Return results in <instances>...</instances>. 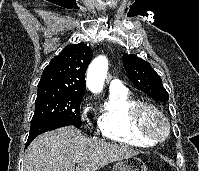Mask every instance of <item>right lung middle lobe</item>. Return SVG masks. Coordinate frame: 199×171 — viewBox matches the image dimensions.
<instances>
[{
  "label": "right lung middle lobe",
  "instance_id": "right-lung-middle-lobe-1",
  "mask_svg": "<svg viewBox=\"0 0 199 171\" xmlns=\"http://www.w3.org/2000/svg\"><path fill=\"white\" fill-rule=\"evenodd\" d=\"M84 95L53 88H38L31 124L43 119H61L81 126L80 103Z\"/></svg>",
  "mask_w": 199,
  "mask_h": 171
}]
</instances>
